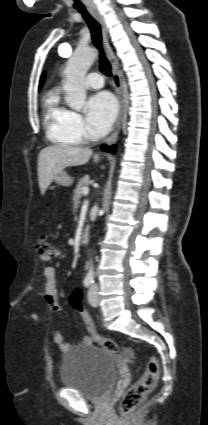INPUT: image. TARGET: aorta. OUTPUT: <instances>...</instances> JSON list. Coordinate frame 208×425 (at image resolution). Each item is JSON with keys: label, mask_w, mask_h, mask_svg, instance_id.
Instances as JSON below:
<instances>
[{"label": "aorta", "mask_w": 208, "mask_h": 425, "mask_svg": "<svg viewBox=\"0 0 208 425\" xmlns=\"http://www.w3.org/2000/svg\"><path fill=\"white\" fill-rule=\"evenodd\" d=\"M95 52L92 49H76L68 60L64 71V90L66 92V102L70 108L80 111L86 100V90L84 87L85 75L95 60ZM87 278L94 277L92 261L88 263Z\"/></svg>", "instance_id": "1"}]
</instances>
